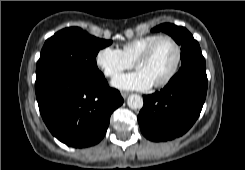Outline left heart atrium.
I'll return each instance as SVG.
<instances>
[{
    "instance_id": "39dd6f15",
    "label": "left heart atrium",
    "mask_w": 245,
    "mask_h": 170,
    "mask_svg": "<svg viewBox=\"0 0 245 170\" xmlns=\"http://www.w3.org/2000/svg\"><path fill=\"white\" fill-rule=\"evenodd\" d=\"M112 83L115 87L127 90H145L153 84L148 76L139 69L132 73L118 75Z\"/></svg>"
}]
</instances>
